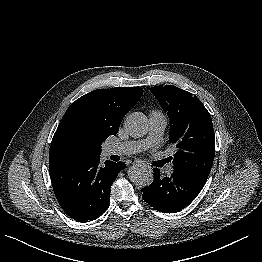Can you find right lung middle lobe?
Wrapping results in <instances>:
<instances>
[{
  "label": "right lung middle lobe",
  "instance_id": "obj_1",
  "mask_svg": "<svg viewBox=\"0 0 262 262\" xmlns=\"http://www.w3.org/2000/svg\"><path fill=\"white\" fill-rule=\"evenodd\" d=\"M103 141H105L104 138L99 139V143H98V144H99V148H101V144H102ZM100 152H101V151H100Z\"/></svg>",
  "mask_w": 262,
  "mask_h": 262
}]
</instances>
